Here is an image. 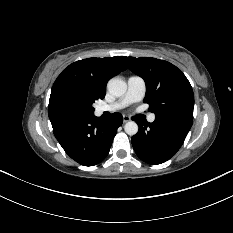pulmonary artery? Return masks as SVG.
<instances>
[{
	"label": "pulmonary artery",
	"mask_w": 233,
	"mask_h": 233,
	"mask_svg": "<svg viewBox=\"0 0 233 233\" xmlns=\"http://www.w3.org/2000/svg\"><path fill=\"white\" fill-rule=\"evenodd\" d=\"M145 93L146 84L144 79L139 76H130L127 80V91L125 95L116 102L98 106L96 113L100 115L105 112H115L123 109L132 103L142 100ZM155 118V114H151L148 117V121L152 123L155 121Z\"/></svg>",
	"instance_id": "pulmonary-artery-1"
}]
</instances>
